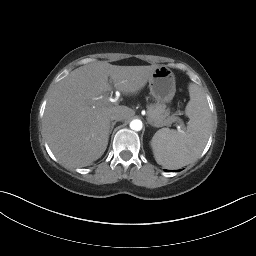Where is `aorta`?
<instances>
[{"label":"aorta","instance_id":"1","mask_svg":"<svg viewBox=\"0 0 256 256\" xmlns=\"http://www.w3.org/2000/svg\"><path fill=\"white\" fill-rule=\"evenodd\" d=\"M130 128L134 131H140L142 129V121L134 119L130 122Z\"/></svg>","mask_w":256,"mask_h":256}]
</instances>
